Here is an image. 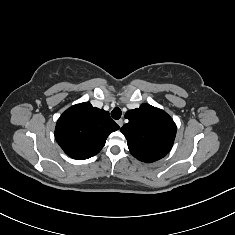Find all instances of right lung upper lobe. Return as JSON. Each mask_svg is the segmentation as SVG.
<instances>
[{
	"label": "right lung upper lobe",
	"mask_w": 235,
	"mask_h": 235,
	"mask_svg": "<svg viewBox=\"0 0 235 235\" xmlns=\"http://www.w3.org/2000/svg\"><path fill=\"white\" fill-rule=\"evenodd\" d=\"M118 129L108 111L84 102L70 107L60 116L55 138L67 155L84 160L99 153L108 135Z\"/></svg>",
	"instance_id": "cb5924a9"
}]
</instances>
